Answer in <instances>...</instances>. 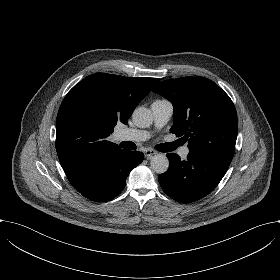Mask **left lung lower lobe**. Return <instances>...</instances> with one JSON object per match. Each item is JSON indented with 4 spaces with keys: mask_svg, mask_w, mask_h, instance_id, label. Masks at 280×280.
Returning <instances> with one entry per match:
<instances>
[{
    "mask_svg": "<svg viewBox=\"0 0 280 280\" xmlns=\"http://www.w3.org/2000/svg\"><path fill=\"white\" fill-rule=\"evenodd\" d=\"M169 169L158 176L163 191L172 199L190 203L208 195L226 173L229 160L189 152L186 160L167 154Z\"/></svg>",
    "mask_w": 280,
    "mask_h": 280,
    "instance_id": "left-lung-lower-lobe-1",
    "label": "left lung lower lobe"
}]
</instances>
